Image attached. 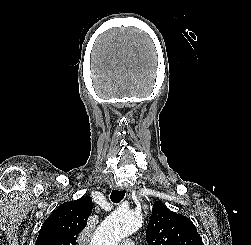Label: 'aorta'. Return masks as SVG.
<instances>
[{
    "label": "aorta",
    "mask_w": 251,
    "mask_h": 245,
    "mask_svg": "<svg viewBox=\"0 0 251 245\" xmlns=\"http://www.w3.org/2000/svg\"><path fill=\"white\" fill-rule=\"evenodd\" d=\"M142 223V215L138 211L118 209L98 226L90 245H118L122 239L136 232Z\"/></svg>",
    "instance_id": "762f6f07"
}]
</instances>
